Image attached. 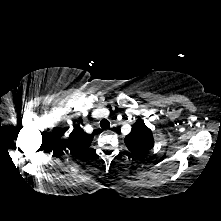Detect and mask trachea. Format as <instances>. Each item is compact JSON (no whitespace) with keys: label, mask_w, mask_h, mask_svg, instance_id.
<instances>
[{"label":"trachea","mask_w":221,"mask_h":221,"mask_svg":"<svg viewBox=\"0 0 221 221\" xmlns=\"http://www.w3.org/2000/svg\"><path fill=\"white\" fill-rule=\"evenodd\" d=\"M100 126H101L102 129H109L110 122L107 119H103L100 122Z\"/></svg>","instance_id":"trachea-1"}]
</instances>
